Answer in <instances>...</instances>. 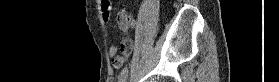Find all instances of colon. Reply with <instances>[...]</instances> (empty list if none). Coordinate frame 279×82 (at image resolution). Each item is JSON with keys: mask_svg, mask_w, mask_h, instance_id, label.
<instances>
[{"mask_svg": "<svg viewBox=\"0 0 279 82\" xmlns=\"http://www.w3.org/2000/svg\"><path fill=\"white\" fill-rule=\"evenodd\" d=\"M117 23L121 28H128L129 26L133 25L132 18L125 10H121L117 15Z\"/></svg>", "mask_w": 279, "mask_h": 82, "instance_id": "1", "label": "colon"}]
</instances>
